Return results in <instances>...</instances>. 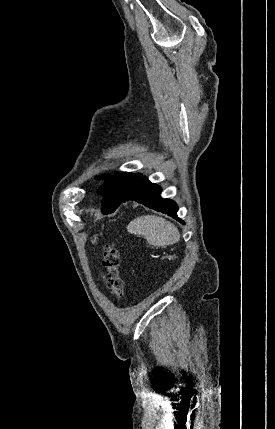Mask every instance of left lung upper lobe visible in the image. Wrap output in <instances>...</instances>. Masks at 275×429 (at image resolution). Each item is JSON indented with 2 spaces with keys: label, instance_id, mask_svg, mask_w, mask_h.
I'll use <instances>...</instances> for the list:
<instances>
[{
  "label": "left lung upper lobe",
  "instance_id": "left-lung-upper-lobe-1",
  "mask_svg": "<svg viewBox=\"0 0 275 429\" xmlns=\"http://www.w3.org/2000/svg\"><path fill=\"white\" fill-rule=\"evenodd\" d=\"M142 174H132L122 172L113 176H97L96 179H105V183L100 186L97 193L104 196L102 202V212L104 214L111 213L122 202L123 196L129 188L136 182Z\"/></svg>",
  "mask_w": 275,
  "mask_h": 429
}]
</instances>
